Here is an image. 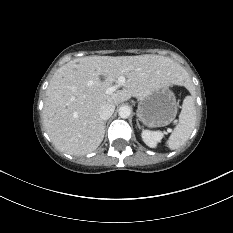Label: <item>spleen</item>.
<instances>
[{
  "mask_svg": "<svg viewBox=\"0 0 233 233\" xmlns=\"http://www.w3.org/2000/svg\"><path fill=\"white\" fill-rule=\"evenodd\" d=\"M196 108L195 98L193 96L185 97L182 110L179 115V121L171 133L167 145L169 149L175 150L180 148L188 140L195 128Z\"/></svg>",
  "mask_w": 233,
  "mask_h": 233,
  "instance_id": "1",
  "label": "spleen"
}]
</instances>
